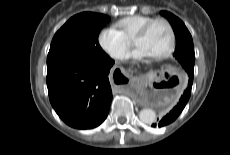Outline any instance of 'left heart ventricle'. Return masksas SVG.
Wrapping results in <instances>:
<instances>
[{"label": "left heart ventricle", "instance_id": "1", "mask_svg": "<svg viewBox=\"0 0 230 155\" xmlns=\"http://www.w3.org/2000/svg\"><path fill=\"white\" fill-rule=\"evenodd\" d=\"M169 42V29L164 23L159 22L153 25L145 37L136 40L134 45L145 49L150 57H153L164 52L167 49Z\"/></svg>", "mask_w": 230, "mask_h": 155}]
</instances>
